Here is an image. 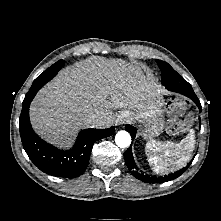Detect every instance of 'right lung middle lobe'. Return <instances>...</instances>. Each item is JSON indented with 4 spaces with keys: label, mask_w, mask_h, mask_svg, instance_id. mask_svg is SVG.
<instances>
[{
    "label": "right lung middle lobe",
    "mask_w": 221,
    "mask_h": 221,
    "mask_svg": "<svg viewBox=\"0 0 221 221\" xmlns=\"http://www.w3.org/2000/svg\"><path fill=\"white\" fill-rule=\"evenodd\" d=\"M65 64V61H63L62 59L57 61L55 64H53L51 67H49L46 71H44L39 77H37L30 90H33L34 87L39 83L40 80H44L46 78H49L46 83L51 80L56 74L57 72L62 68V66ZM30 92H28L29 94Z\"/></svg>",
    "instance_id": "right-lung-middle-lobe-1"
}]
</instances>
